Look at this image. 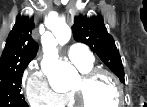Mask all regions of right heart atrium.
Returning <instances> with one entry per match:
<instances>
[{
	"label": "right heart atrium",
	"instance_id": "1",
	"mask_svg": "<svg viewBox=\"0 0 147 107\" xmlns=\"http://www.w3.org/2000/svg\"><path fill=\"white\" fill-rule=\"evenodd\" d=\"M23 88L28 103L35 107H56L61 104L63 95L56 93L49 85L45 74L33 64L23 78Z\"/></svg>",
	"mask_w": 147,
	"mask_h": 107
}]
</instances>
